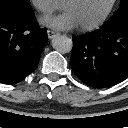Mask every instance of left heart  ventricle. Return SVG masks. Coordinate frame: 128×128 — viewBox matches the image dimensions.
<instances>
[{"label": "left heart ventricle", "mask_w": 128, "mask_h": 128, "mask_svg": "<svg viewBox=\"0 0 128 128\" xmlns=\"http://www.w3.org/2000/svg\"><path fill=\"white\" fill-rule=\"evenodd\" d=\"M110 2L111 0H71L62 3V8L69 11L80 26L95 22Z\"/></svg>", "instance_id": "b2bd125f"}]
</instances>
